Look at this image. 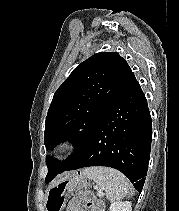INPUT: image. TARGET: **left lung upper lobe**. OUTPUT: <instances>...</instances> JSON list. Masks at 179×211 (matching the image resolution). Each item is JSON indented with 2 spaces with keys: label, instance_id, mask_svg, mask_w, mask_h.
Here are the masks:
<instances>
[{
  "label": "left lung upper lobe",
  "instance_id": "1",
  "mask_svg": "<svg viewBox=\"0 0 179 211\" xmlns=\"http://www.w3.org/2000/svg\"><path fill=\"white\" fill-rule=\"evenodd\" d=\"M127 62L116 52H101L78 65L53 96L46 117L47 149L69 140L74 153L60 161L47 156L46 181L63 172L85 149L101 115L131 74Z\"/></svg>",
  "mask_w": 179,
  "mask_h": 211
}]
</instances>
